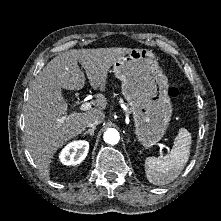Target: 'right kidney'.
I'll return each mask as SVG.
<instances>
[{"mask_svg": "<svg viewBox=\"0 0 221 221\" xmlns=\"http://www.w3.org/2000/svg\"><path fill=\"white\" fill-rule=\"evenodd\" d=\"M88 150L89 142L85 140L72 141L63 148L59 159L64 165H77L86 158Z\"/></svg>", "mask_w": 221, "mask_h": 221, "instance_id": "right-kidney-1", "label": "right kidney"}]
</instances>
